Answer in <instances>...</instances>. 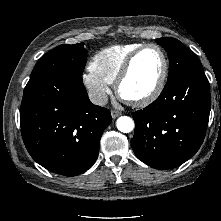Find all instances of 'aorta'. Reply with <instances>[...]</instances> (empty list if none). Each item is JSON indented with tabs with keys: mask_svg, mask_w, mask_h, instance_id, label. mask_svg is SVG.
I'll list each match as a JSON object with an SVG mask.
<instances>
[{
	"mask_svg": "<svg viewBox=\"0 0 221 221\" xmlns=\"http://www.w3.org/2000/svg\"><path fill=\"white\" fill-rule=\"evenodd\" d=\"M116 126L120 132L129 133L134 129L135 124L132 118L128 116H121L117 119Z\"/></svg>",
	"mask_w": 221,
	"mask_h": 221,
	"instance_id": "obj_1",
	"label": "aorta"
}]
</instances>
